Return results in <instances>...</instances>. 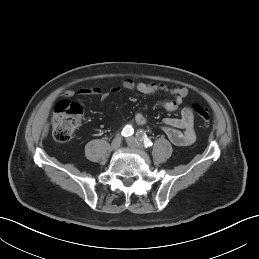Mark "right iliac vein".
Instances as JSON below:
<instances>
[{
    "instance_id": "63e3f726",
    "label": "right iliac vein",
    "mask_w": 259,
    "mask_h": 259,
    "mask_svg": "<svg viewBox=\"0 0 259 259\" xmlns=\"http://www.w3.org/2000/svg\"><path fill=\"white\" fill-rule=\"evenodd\" d=\"M121 145V137L116 136L111 142V150H117Z\"/></svg>"
}]
</instances>
